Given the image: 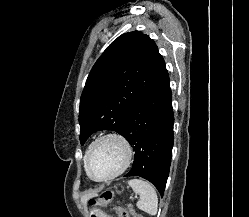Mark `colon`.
<instances>
[{
	"label": "colon",
	"mask_w": 249,
	"mask_h": 217,
	"mask_svg": "<svg viewBox=\"0 0 249 217\" xmlns=\"http://www.w3.org/2000/svg\"><path fill=\"white\" fill-rule=\"evenodd\" d=\"M113 196V191L108 189L103 191L98 199H90L89 204L91 207L105 206L113 199ZM114 211L118 217H129V211L132 212V210H128L127 208L121 206L114 207ZM132 213L135 214L134 212Z\"/></svg>",
	"instance_id": "obj_1"
}]
</instances>
